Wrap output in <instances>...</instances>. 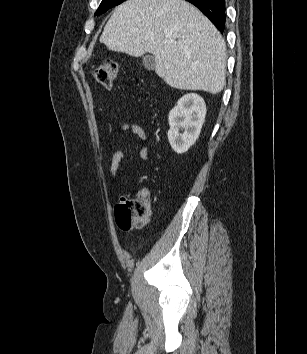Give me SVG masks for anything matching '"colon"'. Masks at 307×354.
I'll return each instance as SVG.
<instances>
[{"instance_id": "obj_1", "label": "colon", "mask_w": 307, "mask_h": 354, "mask_svg": "<svg viewBox=\"0 0 307 354\" xmlns=\"http://www.w3.org/2000/svg\"><path fill=\"white\" fill-rule=\"evenodd\" d=\"M118 66L112 60H107L92 71L96 82L110 89L117 77ZM115 220L122 230L142 228L150 221L152 206L148 197H122L114 209Z\"/></svg>"}]
</instances>
